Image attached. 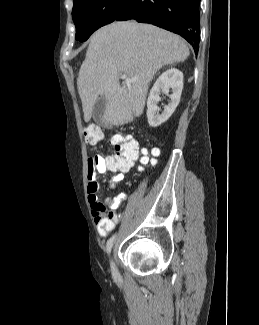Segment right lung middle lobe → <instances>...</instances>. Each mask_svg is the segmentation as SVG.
Wrapping results in <instances>:
<instances>
[{"mask_svg": "<svg viewBox=\"0 0 259 325\" xmlns=\"http://www.w3.org/2000/svg\"><path fill=\"white\" fill-rule=\"evenodd\" d=\"M127 0H74L75 38L86 41L98 28L114 21Z\"/></svg>", "mask_w": 259, "mask_h": 325, "instance_id": "right-lung-middle-lobe-1", "label": "right lung middle lobe"}]
</instances>
